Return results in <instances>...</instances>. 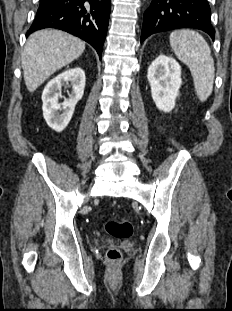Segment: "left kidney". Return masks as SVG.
Listing matches in <instances>:
<instances>
[{
  "label": "left kidney",
  "instance_id": "obj_1",
  "mask_svg": "<svg viewBox=\"0 0 232 311\" xmlns=\"http://www.w3.org/2000/svg\"><path fill=\"white\" fill-rule=\"evenodd\" d=\"M147 79L156 107L170 112L175 107L182 84L180 65L173 58L159 55L148 67Z\"/></svg>",
  "mask_w": 232,
  "mask_h": 311
}]
</instances>
